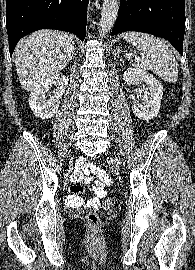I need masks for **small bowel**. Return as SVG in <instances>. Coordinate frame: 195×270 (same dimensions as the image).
<instances>
[{
	"label": "small bowel",
	"instance_id": "c3829d8e",
	"mask_svg": "<svg viewBox=\"0 0 195 270\" xmlns=\"http://www.w3.org/2000/svg\"><path fill=\"white\" fill-rule=\"evenodd\" d=\"M76 178L82 179L84 183L91 184L93 196L87 200L81 197L84 191L82 185L76 184L70 188V194L66 198V204L72 208L82 206L96 208L100 205L101 199L106 197V188L112 184V180L106 171L94 164L86 163L83 159L78 161L75 169ZM96 177V179H94Z\"/></svg>",
	"mask_w": 195,
	"mask_h": 270
}]
</instances>
